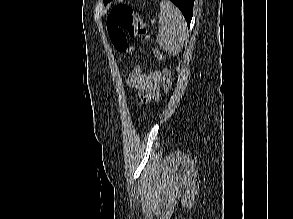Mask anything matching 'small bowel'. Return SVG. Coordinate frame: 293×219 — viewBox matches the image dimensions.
Listing matches in <instances>:
<instances>
[{
    "label": "small bowel",
    "instance_id": "small-bowel-1",
    "mask_svg": "<svg viewBox=\"0 0 293 219\" xmlns=\"http://www.w3.org/2000/svg\"><path fill=\"white\" fill-rule=\"evenodd\" d=\"M160 81L161 74L158 71L148 74H132L128 79L129 85L142 92L141 98L145 102L159 99Z\"/></svg>",
    "mask_w": 293,
    "mask_h": 219
}]
</instances>
